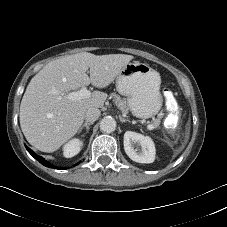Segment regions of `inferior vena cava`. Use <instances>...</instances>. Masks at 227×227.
<instances>
[{"label":"inferior vena cava","mask_w":227,"mask_h":227,"mask_svg":"<svg viewBox=\"0 0 227 227\" xmlns=\"http://www.w3.org/2000/svg\"><path fill=\"white\" fill-rule=\"evenodd\" d=\"M100 110L98 108H89L86 112H85V120L87 123H93L94 121H96L99 116H100Z\"/></svg>","instance_id":"1"}]
</instances>
